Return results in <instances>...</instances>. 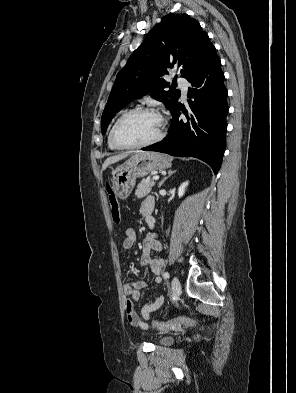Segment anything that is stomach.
<instances>
[{"mask_svg": "<svg viewBox=\"0 0 296 393\" xmlns=\"http://www.w3.org/2000/svg\"><path fill=\"white\" fill-rule=\"evenodd\" d=\"M171 166L169 156L157 152H141L131 156L112 172V189L116 197L126 199L132 192L136 178L145 177Z\"/></svg>", "mask_w": 296, "mask_h": 393, "instance_id": "0dacf381", "label": "stomach"}]
</instances>
